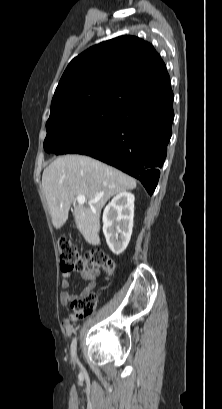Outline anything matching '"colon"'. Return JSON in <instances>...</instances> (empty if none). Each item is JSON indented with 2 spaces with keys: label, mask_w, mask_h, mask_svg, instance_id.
<instances>
[{
  "label": "colon",
  "mask_w": 222,
  "mask_h": 409,
  "mask_svg": "<svg viewBox=\"0 0 222 409\" xmlns=\"http://www.w3.org/2000/svg\"><path fill=\"white\" fill-rule=\"evenodd\" d=\"M60 268L63 272H83L101 267L108 276L115 271L113 260L100 250H92L81 255L76 245L67 238L58 241ZM97 298L94 293L86 292L71 302L72 316L76 319L88 316L95 309Z\"/></svg>",
  "instance_id": "1"
}]
</instances>
